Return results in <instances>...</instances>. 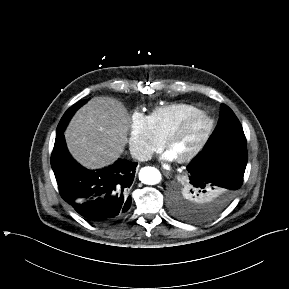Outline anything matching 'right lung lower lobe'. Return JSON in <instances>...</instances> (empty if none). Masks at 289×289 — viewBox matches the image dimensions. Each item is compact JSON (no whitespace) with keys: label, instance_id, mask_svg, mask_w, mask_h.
I'll list each match as a JSON object with an SVG mask.
<instances>
[{"label":"right lung lower lobe","instance_id":"1","mask_svg":"<svg viewBox=\"0 0 289 289\" xmlns=\"http://www.w3.org/2000/svg\"><path fill=\"white\" fill-rule=\"evenodd\" d=\"M63 132L56 135L51 156L61 197L91 223L124 217L131 205L128 192L137 163L119 159L107 168L88 170L69 154Z\"/></svg>","mask_w":289,"mask_h":289}]
</instances>
